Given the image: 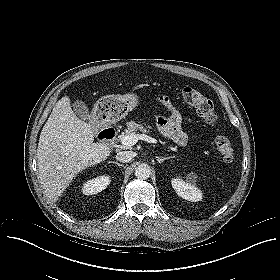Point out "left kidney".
Segmentation results:
<instances>
[{
  "instance_id": "left-kidney-1",
  "label": "left kidney",
  "mask_w": 280,
  "mask_h": 280,
  "mask_svg": "<svg viewBox=\"0 0 280 280\" xmlns=\"http://www.w3.org/2000/svg\"><path fill=\"white\" fill-rule=\"evenodd\" d=\"M171 184L176 193L185 200L197 202L202 199L201 190L188 179L185 181L179 177L173 178Z\"/></svg>"
}]
</instances>
